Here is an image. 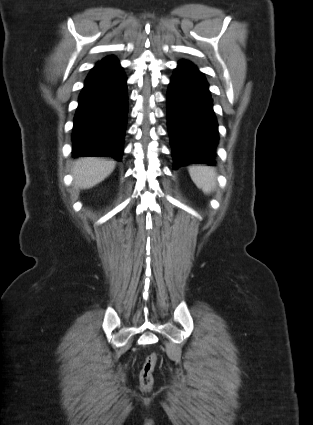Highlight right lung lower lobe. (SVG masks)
Listing matches in <instances>:
<instances>
[{
  "mask_svg": "<svg viewBox=\"0 0 313 425\" xmlns=\"http://www.w3.org/2000/svg\"><path fill=\"white\" fill-rule=\"evenodd\" d=\"M78 102L72 134L73 157L121 160L128 96L126 77L115 57L108 56L92 68Z\"/></svg>",
  "mask_w": 313,
  "mask_h": 425,
  "instance_id": "1",
  "label": "right lung lower lobe"
}]
</instances>
